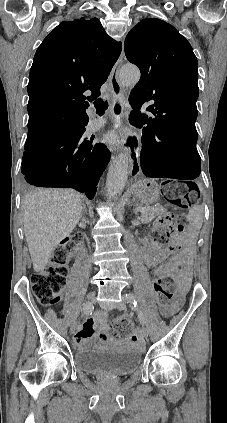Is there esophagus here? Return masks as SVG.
<instances>
[{"label": "esophagus", "instance_id": "1", "mask_svg": "<svg viewBox=\"0 0 227 423\" xmlns=\"http://www.w3.org/2000/svg\"><path fill=\"white\" fill-rule=\"evenodd\" d=\"M124 59V41H122V51L120 54V57L118 61L115 63L109 79L111 84V92L113 96L112 101V114L115 117H120V115L123 113L125 107L123 102V89L120 84L118 75H119V69L122 65ZM118 119V118H117ZM116 124H120L121 122L116 121ZM120 143H122V146L127 151V156L130 163V175L132 178H136L141 173V167H140V137L138 135H134L133 137L129 136L128 138L126 136H120Z\"/></svg>", "mask_w": 227, "mask_h": 423}]
</instances>
